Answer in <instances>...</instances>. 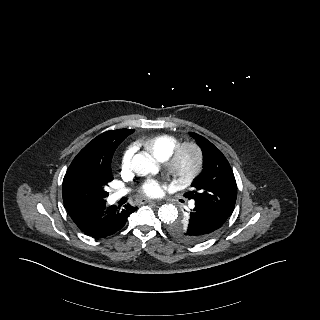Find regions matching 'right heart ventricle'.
Instances as JSON below:
<instances>
[{"label": "right heart ventricle", "instance_id": "obj_1", "mask_svg": "<svg viewBox=\"0 0 320 320\" xmlns=\"http://www.w3.org/2000/svg\"><path fill=\"white\" fill-rule=\"evenodd\" d=\"M177 144L178 140L169 134L152 135L141 142L142 147L160 161L166 160Z\"/></svg>", "mask_w": 320, "mask_h": 320}]
</instances>
